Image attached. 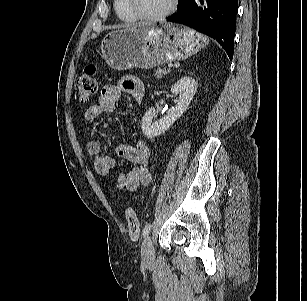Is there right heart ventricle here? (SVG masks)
I'll return each mask as SVG.
<instances>
[{
	"label": "right heart ventricle",
	"instance_id": "right-heart-ventricle-1",
	"mask_svg": "<svg viewBox=\"0 0 307 301\" xmlns=\"http://www.w3.org/2000/svg\"><path fill=\"white\" fill-rule=\"evenodd\" d=\"M114 8L121 21L133 23L138 20V18L132 13L127 0H114Z\"/></svg>",
	"mask_w": 307,
	"mask_h": 301
}]
</instances>
